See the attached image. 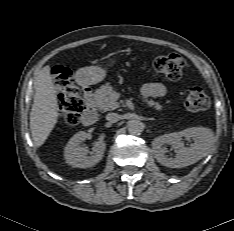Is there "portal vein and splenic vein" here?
Returning a JSON list of instances; mask_svg holds the SVG:
<instances>
[{"instance_id":"18ae733b","label":"portal vein and splenic vein","mask_w":234,"mask_h":231,"mask_svg":"<svg viewBox=\"0 0 234 231\" xmlns=\"http://www.w3.org/2000/svg\"><path fill=\"white\" fill-rule=\"evenodd\" d=\"M114 99H115V100L117 99V95H116V93L114 94Z\"/></svg>"}]
</instances>
